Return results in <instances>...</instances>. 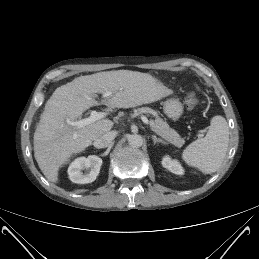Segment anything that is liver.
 Wrapping results in <instances>:
<instances>
[{"mask_svg":"<svg viewBox=\"0 0 259 259\" xmlns=\"http://www.w3.org/2000/svg\"><path fill=\"white\" fill-rule=\"evenodd\" d=\"M112 95L99 103L94 93ZM163 87L150 74L130 70L106 71L80 76L58 87L45 104L34 133V157L48 181H58V171L73 154L84 151L92 142L109 132L113 122L107 119L83 128L67 121L80 119L92 106L105 104L110 108H132L162 98Z\"/></svg>","mask_w":259,"mask_h":259,"instance_id":"liver-1","label":"liver"}]
</instances>
